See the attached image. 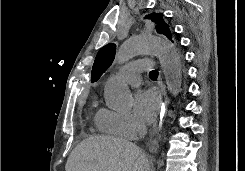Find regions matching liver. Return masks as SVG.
Segmentation results:
<instances>
[{
	"label": "liver",
	"instance_id": "6515ba94",
	"mask_svg": "<svg viewBox=\"0 0 245 171\" xmlns=\"http://www.w3.org/2000/svg\"><path fill=\"white\" fill-rule=\"evenodd\" d=\"M65 171H150V164L132 142L111 136H93L71 152Z\"/></svg>",
	"mask_w": 245,
	"mask_h": 171
}]
</instances>
